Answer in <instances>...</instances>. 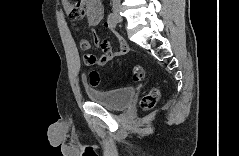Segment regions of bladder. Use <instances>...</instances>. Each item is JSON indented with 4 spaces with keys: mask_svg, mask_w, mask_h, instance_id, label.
Returning a JSON list of instances; mask_svg holds the SVG:
<instances>
[{
    "mask_svg": "<svg viewBox=\"0 0 239 156\" xmlns=\"http://www.w3.org/2000/svg\"><path fill=\"white\" fill-rule=\"evenodd\" d=\"M86 94L90 101L100 104L111 110L126 108L135 95L133 87L115 88L110 90H96L87 88Z\"/></svg>",
    "mask_w": 239,
    "mask_h": 156,
    "instance_id": "bladder-1",
    "label": "bladder"
}]
</instances>
